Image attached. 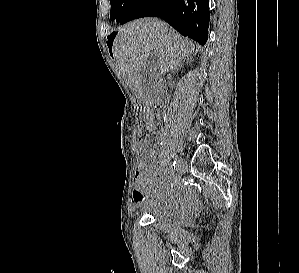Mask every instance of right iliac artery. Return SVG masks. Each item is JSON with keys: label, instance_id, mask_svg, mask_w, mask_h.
<instances>
[{"label": "right iliac artery", "instance_id": "obj_1", "mask_svg": "<svg viewBox=\"0 0 299 273\" xmlns=\"http://www.w3.org/2000/svg\"><path fill=\"white\" fill-rule=\"evenodd\" d=\"M175 161L173 162V163H171L170 165H169V170H170V172H173L174 170H175V167H176V165H175Z\"/></svg>", "mask_w": 299, "mask_h": 273}]
</instances>
